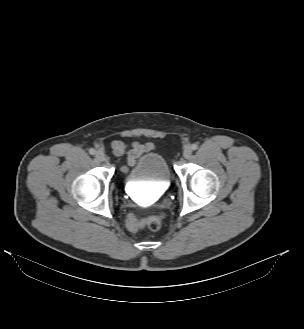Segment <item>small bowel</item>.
Instances as JSON below:
<instances>
[{
  "label": "small bowel",
  "instance_id": "obj_1",
  "mask_svg": "<svg viewBox=\"0 0 304 329\" xmlns=\"http://www.w3.org/2000/svg\"><path fill=\"white\" fill-rule=\"evenodd\" d=\"M152 148L153 145L151 143H142L139 141H135L129 146L119 140H115L111 143L113 153L125 157L126 163L122 167L124 172H127L142 154L150 151Z\"/></svg>",
  "mask_w": 304,
  "mask_h": 329
}]
</instances>
